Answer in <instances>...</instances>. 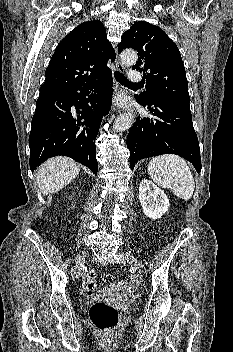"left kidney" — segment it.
Returning a JSON list of instances; mask_svg holds the SVG:
<instances>
[{
	"label": "left kidney",
	"mask_w": 233,
	"mask_h": 352,
	"mask_svg": "<svg viewBox=\"0 0 233 352\" xmlns=\"http://www.w3.org/2000/svg\"><path fill=\"white\" fill-rule=\"evenodd\" d=\"M139 200L144 214L151 219L160 218L168 211V197L150 180L144 179L141 181Z\"/></svg>",
	"instance_id": "left-kidney-1"
}]
</instances>
